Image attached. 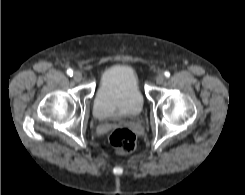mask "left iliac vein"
I'll list each match as a JSON object with an SVG mask.
<instances>
[{
	"label": "left iliac vein",
	"mask_w": 245,
	"mask_h": 195,
	"mask_svg": "<svg viewBox=\"0 0 245 195\" xmlns=\"http://www.w3.org/2000/svg\"><path fill=\"white\" fill-rule=\"evenodd\" d=\"M165 80V76L164 74L160 73L159 75H157L156 77V83L157 84H162Z\"/></svg>",
	"instance_id": "obj_1"
}]
</instances>
